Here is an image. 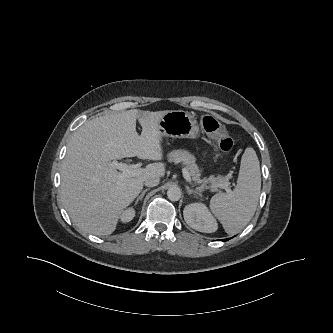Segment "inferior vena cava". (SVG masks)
I'll use <instances>...</instances> for the list:
<instances>
[{
    "mask_svg": "<svg viewBox=\"0 0 333 333\" xmlns=\"http://www.w3.org/2000/svg\"><path fill=\"white\" fill-rule=\"evenodd\" d=\"M160 182V178L159 177H149L147 179H145L144 184L148 187H154L157 186Z\"/></svg>",
    "mask_w": 333,
    "mask_h": 333,
    "instance_id": "inferior-vena-cava-1",
    "label": "inferior vena cava"
}]
</instances>
